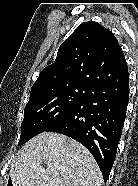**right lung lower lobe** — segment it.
<instances>
[{
  "instance_id": "1",
  "label": "right lung lower lobe",
  "mask_w": 138,
  "mask_h": 186,
  "mask_svg": "<svg viewBox=\"0 0 138 186\" xmlns=\"http://www.w3.org/2000/svg\"><path fill=\"white\" fill-rule=\"evenodd\" d=\"M129 99V79L120 85L88 88L83 101L46 131L69 136L95 158L106 182L121 137Z\"/></svg>"
}]
</instances>
